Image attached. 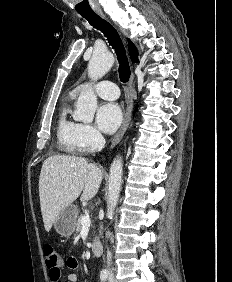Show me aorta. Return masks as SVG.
<instances>
[{
	"mask_svg": "<svg viewBox=\"0 0 232 282\" xmlns=\"http://www.w3.org/2000/svg\"><path fill=\"white\" fill-rule=\"evenodd\" d=\"M114 57L107 50L95 51L88 63V76L92 80L102 78L113 66ZM97 107V96L92 89L82 93L77 100L76 110L73 117L77 121L90 123L93 121ZM123 163L122 158L117 156L111 164L108 179L107 214H113L116 207L121 183H122Z\"/></svg>",
	"mask_w": 232,
	"mask_h": 282,
	"instance_id": "762f6f07",
	"label": "aorta"
}]
</instances>
